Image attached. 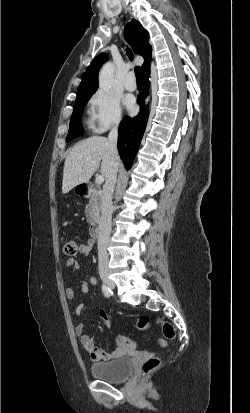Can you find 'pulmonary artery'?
Wrapping results in <instances>:
<instances>
[{"instance_id": "1", "label": "pulmonary artery", "mask_w": 250, "mask_h": 413, "mask_svg": "<svg viewBox=\"0 0 250 413\" xmlns=\"http://www.w3.org/2000/svg\"><path fill=\"white\" fill-rule=\"evenodd\" d=\"M124 86L129 91H134L136 89L135 76L133 73H128L124 81Z\"/></svg>"}]
</instances>
